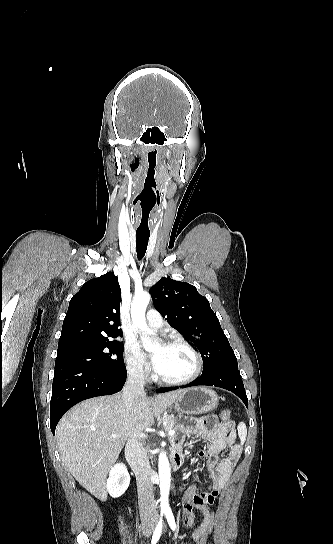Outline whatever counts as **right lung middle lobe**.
<instances>
[{"label":"right lung middle lobe","instance_id":"1","mask_svg":"<svg viewBox=\"0 0 333 544\" xmlns=\"http://www.w3.org/2000/svg\"><path fill=\"white\" fill-rule=\"evenodd\" d=\"M123 350V344L104 338L60 348L55 362L72 361L105 372L126 373Z\"/></svg>","mask_w":333,"mask_h":544}]
</instances>
